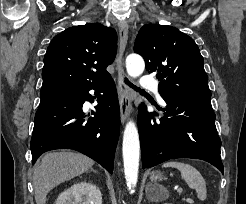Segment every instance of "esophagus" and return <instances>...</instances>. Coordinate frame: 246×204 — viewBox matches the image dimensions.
Returning a JSON list of instances; mask_svg holds the SVG:
<instances>
[{
    "mask_svg": "<svg viewBox=\"0 0 246 204\" xmlns=\"http://www.w3.org/2000/svg\"><path fill=\"white\" fill-rule=\"evenodd\" d=\"M118 30L120 47L117 85L119 91L120 117L122 124H124L130 115L132 101L130 90L128 86L124 83V71L122 67V57L124 55L128 40V24L124 21L120 22L118 25Z\"/></svg>",
    "mask_w": 246,
    "mask_h": 204,
    "instance_id": "34e87169",
    "label": "esophagus"
}]
</instances>
